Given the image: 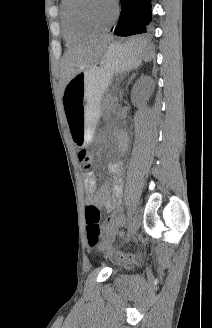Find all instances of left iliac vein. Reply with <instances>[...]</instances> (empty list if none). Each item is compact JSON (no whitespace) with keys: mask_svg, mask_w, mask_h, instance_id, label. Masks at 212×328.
Segmentation results:
<instances>
[{"mask_svg":"<svg viewBox=\"0 0 212 328\" xmlns=\"http://www.w3.org/2000/svg\"><path fill=\"white\" fill-rule=\"evenodd\" d=\"M140 225H141V216L138 212H136L131 218V221L129 223L126 241H129L132 237L135 236Z\"/></svg>","mask_w":212,"mask_h":328,"instance_id":"left-iliac-vein-1","label":"left iliac vein"}]
</instances>
